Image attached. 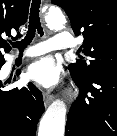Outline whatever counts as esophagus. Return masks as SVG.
<instances>
[{
	"instance_id": "obj_1",
	"label": "esophagus",
	"mask_w": 117,
	"mask_h": 136,
	"mask_svg": "<svg viewBox=\"0 0 117 136\" xmlns=\"http://www.w3.org/2000/svg\"><path fill=\"white\" fill-rule=\"evenodd\" d=\"M43 100H44V105L47 107L51 101H52V96L46 92L43 93Z\"/></svg>"
}]
</instances>
